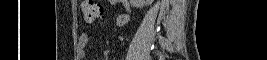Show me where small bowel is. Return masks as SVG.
I'll return each instance as SVG.
<instances>
[{
	"mask_svg": "<svg viewBox=\"0 0 267 60\" xmlns=\"http://www.w3.org/2000/svg\"><path fill=\"white\" fill-rule=\"evenodd\" d=\"M117 2H118V1H117ZM118 3L121 4V5H123V7H124L125 10H128V3H127V1L118 2ZM128 20H129V16H128V14H122V15H120V16L118 17V19H117V23H118L119 25H124L125 23L128 22ZM79 39H80V42H81L82 44H85V43H87V42L89 41V39H90V35L87 34V33H83V34L80 35Z\"/></svg>",
	"mask_w": 267,
	"mask_h": 60,
	"instance_id": "small-bowel-1",
	"label": "small bowel"
}]
</instances>
